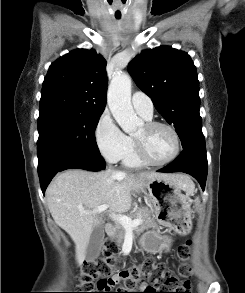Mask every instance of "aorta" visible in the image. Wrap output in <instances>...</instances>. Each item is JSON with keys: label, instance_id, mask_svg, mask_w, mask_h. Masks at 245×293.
I'll return each mask as SVG.
<instances>
[{"label": "aorta", "instance_id": "1", "mask_svg": "<svg viewBox=\"0 0 245 293\" xmlns=\"http://www.w3.org/2000/svg\"><path fill=\"white\" fill-rule=\"evenodd\" d=\"M109 109L125 133L135 132L142 120L135 114L131 104V78L119 74L112 78L108 88Z\"/></svg>", "mask_w": 245, "mask_h": 293}]
</instances>
